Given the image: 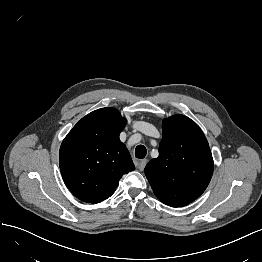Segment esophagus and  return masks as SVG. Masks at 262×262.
I'll list each match as a JSON object with an SVG mask.
<instances>
[{
    "instance_id": "34e87169",
    "label": "esophagus",
    "mask_w": 262,
    "mask_h": 262,
    "mask_svg": "<svg viewBox=\"0 0 262 262\" xmlns=\"http://www.w3.org/2000/svg\"><path fill=\"white\" fill-rule=\"evenodd\" d=\"M147 164V160H140L138 163H137V168L140 170V171H143L145 166Z\"/></svg>"
}]
</instances>
